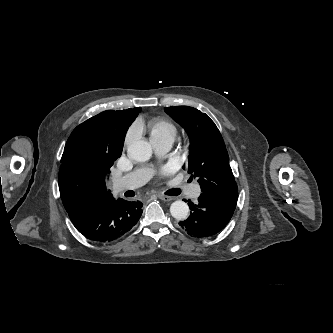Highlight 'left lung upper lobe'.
Listing matches in <instances>:
<instances>
[{
	"mask_svg": "<svg viewBox=\"0 0 333 333\" xmlns=\"http://www.w3.org/2000/svg\"><path fill=\"white\" fill-rule=\"evenodd\" d=\"M164 110L185 129L190 138L187 170L192 178L198 179L202 193L216 199L237 200L238 187L215 123L193 107H165Z\"/></svg>",
	"mask_w": 333,
	"mask_h": 333,
	"instance_id": "obj_1",
	"label": "left lung upper lobe"
}]
</instances>
